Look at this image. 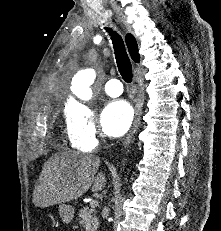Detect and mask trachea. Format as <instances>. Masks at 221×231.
Instances as JSON below:
<instances>
[{
  "label": "trachea",
  "instance_id": "obj_1",
  "mask_svg": "<svg viewBox=\"0 0 221 231\" xmlns=\"http://www.w3.org/2000/svg\"><path fill=\"white\" fill-rule=\"evenodd\" d=\"M106 30L107 32H109L112 39L118 70L124 81L130 83L132 81V76H133L132 65L128 57V54L126 52L124 42L121 36L118 35L116 32L111 31V29H106Z\"/></svg>",
  "mask_w": 221,
  "mask_h": 231
}]
</instances>
